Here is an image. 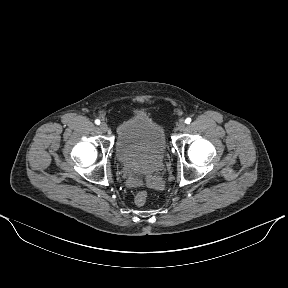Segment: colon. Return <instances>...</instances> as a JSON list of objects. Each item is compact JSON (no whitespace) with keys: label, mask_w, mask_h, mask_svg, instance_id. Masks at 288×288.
<instances>
[{"label":"colon","mask_w":288,"mask_h":288,"mask_svg":"<svg viewBox=\"0 0 288 288\" xmlns=\"http://www.w3.org/2000/svg\"><path fill=\"white\" fill-rule=\"evenodd\" d=\"M147 201H148V194L145 191H140L135 196V203L138 206H144L147 203Z\"/></svg>","instance_id":"5ec220e1"}]
</instances>
